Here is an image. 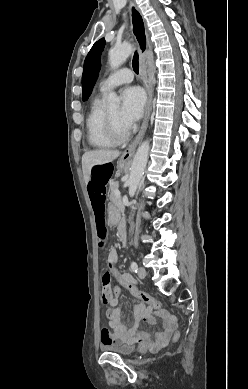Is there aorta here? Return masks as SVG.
<instances>
[{
	"mask_svg": "<svg viewBox=\"0 0 248 389\" xmlns=\"http://www.w3.org/2000/svg\"><path fill=\"white\" fill-rule=\"evenodd\" d=\"M133 51V47L129 43H124L115 46L109 50V63L112 69L119 68ZM120 105L119 97L115 92H110L107 97V107L109 109H118ZM150 150V143L145 140L138 147L134 156L130 176L128 179L129 194H134L143 177L144 170L148 161V154Z\"/></svg>",
	"mask_w": 248,
	"mask_h": 389,
	"instance_id": "762f6f07",
	"label": "aorta"
}]
</instances>
